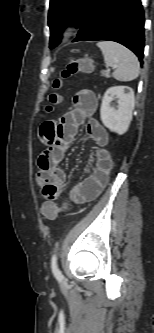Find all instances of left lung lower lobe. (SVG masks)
Returning a JSON list of instances; mask_svg holds the SVG:
<instances>
[{
    "mask_svg": "<svg viewBox=\"0 0 154 333\" xmlns=\"http://www.w3.org/2000/svg\"><path fill=\"white\" fill-rule=\"evenodd\" d=\"M80 27L74 42L115 41L132 50L143 64L145 39L141 0H96Z\"/></svg>",
    "mask_w": 154,
    "mask_h": 333,
    "instance_id": "0a47b994",
    "label": "left lung lower lobe"
}]
</instances>
